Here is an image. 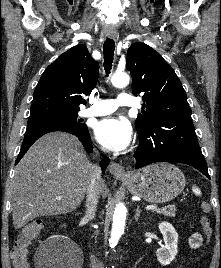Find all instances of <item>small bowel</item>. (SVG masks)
<instances>
[{"label": "small bowel", "mask_w": 221, "mask_h": 268, "mask_svg": "<svg viewBox=\"0 0 221 268\" xmlns=\"http://www.w3.org/2000/svg\"><path fill=\"white\" fill-rule=\"evenodd\" d=\"M202 244V235L199 232H194L189 238V245L192 250L199 248Z\"/></svg>", "instance_id": "small-bowel-1"}]
</instances>
